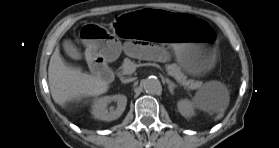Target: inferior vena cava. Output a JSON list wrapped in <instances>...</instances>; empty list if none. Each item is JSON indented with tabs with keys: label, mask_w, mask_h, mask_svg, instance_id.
Here are the masks:
<instances>
[{
	"label": "inferior vena cava",
	"mask_w": 279,
	"mask_h": 148,
	"mask_svg": "<svg viewBox=\"0 0 279 148\" xmlns=\"http://www.w3.org/2000/svg\"><path fill=\"white\" fill-rule=\"evenodd\" d=\"M132 81H134V78L125 79L123 82L128 83V82H132Z\"/></svg>",
	"instance_id": "obj_1"
}]
</instances>
